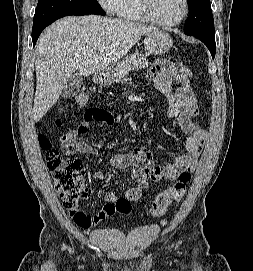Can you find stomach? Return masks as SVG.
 <instances>
[{
  "label": "stomach",
  "instance_id": "1",
  "mask_svg": "<svg viewBox=\"0 0 253 271\" xmlns=\"http://www.w3.org/2000/svg\"><path fill=\"white\" fill-rule=\"evenodd\" d=\"M144 46L149 53L163 55L171 49L173 40L168 33L157 29L146 33ZM97 81L102 84L112 83L114 81V72L106 70L105 72L99 73L97 75Z\"/></svg>",
  "mask_w": 253,
  "mask_h": 271
}]
</instances>
